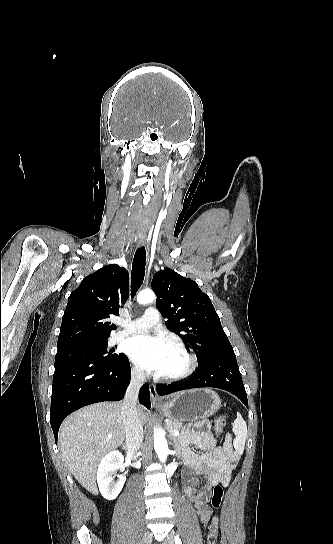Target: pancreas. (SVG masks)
<instances>
[{
  "label": "pancreas",
  "instance_id": "cf45deb5",
  "mask_svg": "<svg viewBox=\"0 0 333 544\" xmlns=\"http://www.w3.org/2000/svg\"><path fill=\"white\" fill-rule=\"evenodd\" d=\"M166 427H167L168 431L170 432L171 436L174 439L177 438L173 434L174 431H179L180 433H183V434L190 432L189 428H186L185 426L182 425V423H180L179 421H176L174 419H168V421L166 422Z\"/></svg>",
  "mask_w": 333,
  "mask_h": 544
}]
</instances>
